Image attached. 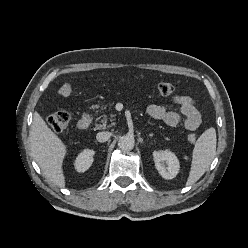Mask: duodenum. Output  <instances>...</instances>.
Instances as JSON below:
<instances>
[{"mask_svg": "<svg viewBox=\"0 0 248 248\" xmlns=\"http://www.w3.org/2000/svg\"><path fill=\"white\" fill-rule=\"evenodd\" d=\"M91 122H92L91 121V117L89 115L82 116L79 119L78 124H77L78 125V129L79 130H82V131L87 130L90 127Z\"/></svg>", "mask_w": 248, "mask_h": 248, "instance_id": "410a0bca", "label": "duodenum"}]
</instances>
